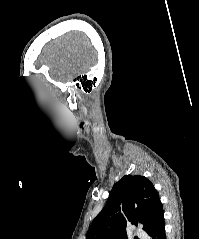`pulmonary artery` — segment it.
Masks as SVG:
<instances>
[{
    "mask_svg": "<svg viewBox=\"0 0 199 239\" xmlns=\"http://www.w3.org/2000/svg\"><path fill=\"white\" fill-rule=\"evenodd\" d=\"M135 234L141 239H148L146 232L140 228H137L135 230Z\"/></svg>",
    "mask_w": 199,
    "mask_h": 239,
    "instance_id": "e3ab8cb5",
    "label": "pulmonary artery"
}]
</instances>
